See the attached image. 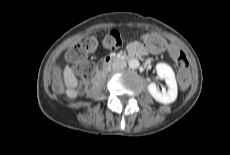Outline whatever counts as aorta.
I'll list each match as a JSON object with an SVG mask.
<instances>
[{
    "mask_svg": "<svg viewBox=\"0 0 230 155\" xmlns=\"http://www.w3.org/2000/svg\"><path fill=\"white\" fill-rule=\"evenodd\" d=\"M128 65L131 69H137L140 66V63L137 59H131L129 60Z\"/></svg>",
    "mask_w": 230,
    "mask_h": 155,
    "instance_id": "762f6f07",
    "label": "aorta"
}]
</instances>
